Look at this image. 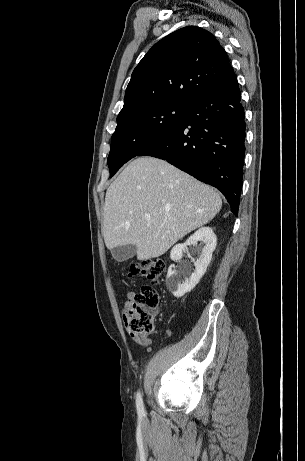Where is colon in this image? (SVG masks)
Masks as SVG:
<instances>
[{"label":"colon","instance_id":"obj_1","mask_svg":"<svg viewBox=\"0 0 305 461\" xmlns=\"http://www.w3.org/2000/svg\"><path fill=\"white\" fill-rule=\"evenodd\" d=\"M165 263L159 258H148L133 263L129 269V276L141 275L152 283L161 280ZM159 302L157 291L151 286H144L132 300L127 316L129 330L134 334L148 335L154 330L156 308Z\"/></svg>","mask_w":305,"mask_h":461}]
</instances>
